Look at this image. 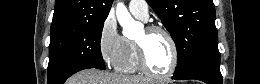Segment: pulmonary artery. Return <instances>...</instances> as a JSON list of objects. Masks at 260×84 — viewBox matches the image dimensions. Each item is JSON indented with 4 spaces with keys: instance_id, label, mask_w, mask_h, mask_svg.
Returning a JSON list of instances; mask_svg holds the SVG:
<instances>
[{
    "instance_id": "pulmonary-artery-1",
    "label": "pulmonary artery",
    "mask_w": 260,
    "mask_h": 84,
    "mask_svg": "<svg viewBox=\"0 0 260 84\" xmlns=\"http://www.w3.org/2000/svg\"><path fill=\"white\" fill-rule=\"evenodd\" d=\"M130 12L137 18L146 21L149 15V8L146 1H131L129 3Z\"/></svg>"
}]
</instances>
